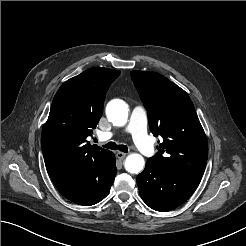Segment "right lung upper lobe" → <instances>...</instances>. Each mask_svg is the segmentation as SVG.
Segmentation results:
<instances>
[{
	"label": "right lung upper lobe",
	"mask_w": 246,
	"mask_h": 246,
	"mask_svg": "<svg viewBox=\"0 0 246 246\" xmlns=\"http://www.w3.org/2000/svg\"><path fill=\"white\" fill-rule=\"evenodd\" d=\"M120 73L108 68H90L59 88L41 136L49 175L79 163L103 159L110 153L98 145H90L86 138L98 124L106 92Z\"/></svg>",
	"instance_id": "right-lung-upper-lobe-1"
}]
</instances>
